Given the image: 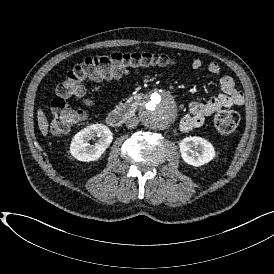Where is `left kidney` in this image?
<instances>
[{
  "mask_svg": "<svg viewBox=\"0 0 274 274\" xmlns=\"http://www.w3.org/2000/svg\"><path fill=\"white\" fill-rule=\"evenodd\" d=\"M179 149L182 160L194 167L208 164L216 157L213 144L198 136H189L182 139L179 143Z\"/></svg>",
  "mask_w": 274,
  "mask_h": 274,
  "instance_id": "left-kidney-1",
  "label": "left kidney"
}]
</instances>
